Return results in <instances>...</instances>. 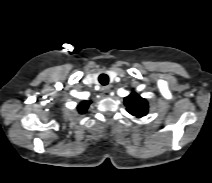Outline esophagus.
<instances>
[{
  "label": "esophagus",
  "mask_w": 212,
  "mask_h": 183,
  "mask_svg": "<svg viewBox=\"0 0 212 183\" xmlns=\"http://www.w3.org/2000/svg\"><path fill=\"white\" fill-rule=\"evenodd\" d=\"M102 91H103L105 96H109L111 90H110L109 86H105V87L102 88Z\"/></svg>",
  "instance_id": "esophagus-1"
}]
</instances>
